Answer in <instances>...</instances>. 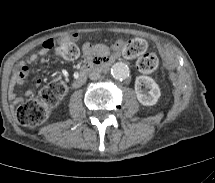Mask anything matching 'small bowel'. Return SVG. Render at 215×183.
Returning <instances> with one entry per match:
<instances>
[{
	"mask_svg": "<svg viewBox=\"0 0 215 183\" xmlns=\"http://www.w3.org/2000/svg\"><path fill=\"white\" fill-rule=\"evenodd\" d=\"M72 38H76V35H72ZM52 46H53V42L51 40H46L41 44L40 48L37 51L30 54L25 61H22L14 72L12 84L22 85L25 82L26 78L29 76V73H30L29 65L41 59L43 56H45L52 48ZM102 51H103V47L98 45H91L89 43H86L83 45V53L85 56L99 54ZM37 83H39V81H37ZM31 93H32L31 90H28L26 92L27 95H30ZM9 97H10V100L13 102V104H17L21 102V99H19L16 96L13 89H11Z\"/></svg>",
	"mask_w": 215,
	"mask_h": 183,
	"instance_id": "obj_1",
	"label": "small bowel"
}]
</instances>
